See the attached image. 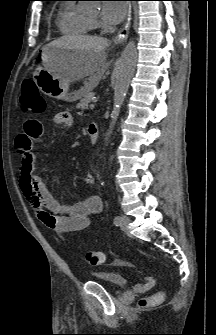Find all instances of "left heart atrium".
<instances>
[{
  "label": "left heart atrium",
  "instance_id": "39dd6f15",
  "mask_svg": "<svg viewBox=\"0 0 216 335\" xmlns=\"http://www.w3.org/2000/svg\"><path fill=\"white\" fill-rule=\"evenodd\" d=\"M120 1H106L103 4L102 18L105 23L116 26L128 13V5Z\"/></svg>",
  "mask_w": 216,
  "mask_h": 335
}]
</instances>
